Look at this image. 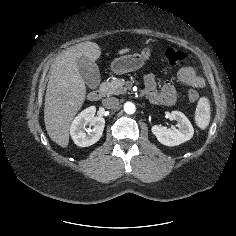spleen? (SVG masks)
Returning <instances> with one entry per match:
<instances>
[{
  "instance_id": "spleen-1",
  "label": "spleen",
  "mask_w": 236,
  "mask_h": 236,
  "mask_svg": "<svg viewBox=\"0 0 236 236\" xmlns=\"http://www.w3.org/2000/svg\"><path fill=\"white\" fill-rule=\"evenodd\" d=\"M210 114L209 100L206 97L200 98L195 111V121L200 129L204 130L209 125Z\"/></svg>"
}]
</instances>
